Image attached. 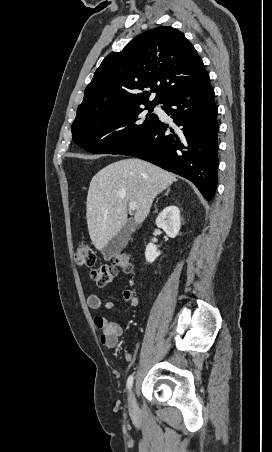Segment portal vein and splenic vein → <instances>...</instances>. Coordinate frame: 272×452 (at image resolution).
<instances>
[{
  "label": "portal vein and splenic vein",
  "instance_id": "18ae733b",
  "mask_svg": "<svg viewBox=\"0 0 272 452\" xmlns=\"http://www.w3.org/2000/svg\"><path fill=\"white\" fill-rule=\"evenodd\" d=\"M136 207H137V205H136V202H129V209L130 210H136Z\"/></svg>",
  "mask_w": 272,
  "mask_h": 452
}]
</instances>
